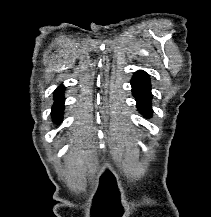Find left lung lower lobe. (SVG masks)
<instances>
[{"label": "left lung lower lobe", "instance_id": "left-lung-lower-lobe-1", "mask_svg": "<svg viewBox=\"0 0 211 217\" xmlns=\"http://www.w3.org/2000/svg\"><path fill=\"white\" fill-rule=\"evenodd\" d=\"M132 93L137 101V108L145 117H151L152 109L150 100L152 98L149 75L144 71L135 72L132 80Z\"/></svg>", "mask_w": 211, "mask_h": 217}]
</instances>
